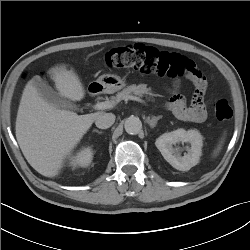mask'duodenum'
I'll return each instance as SVG.
<instances>
[{"label":"duodenum","mask_w":250,"mask_h":250,"mask_svg":"<svg viewBox=\"0 0 250 250\" xmlns=\"http://www.w3.org/2000/svg\"><path fill=\"white\" fill-rule=\"evenodd\" d=\"M102 90V86L99 84H94L89 87L90 96H96Z\"/></svg>","instance_id":"obj_1"}]
</instances>
